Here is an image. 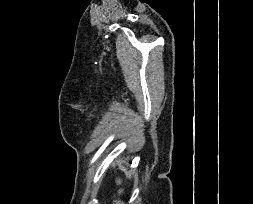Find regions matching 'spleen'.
Segmentation results:
<instances>
[{
    "label": "spleen",
    "mask_w": 253,
    "mask_h": 204,
    "mask_svg": "<svg viewBox=\"0 0 253 204\" xmlns=\"http://www.w3.org/2000/svg\"><path fill=\"white\" fill-rule=\"evenodd\" d=\"M121 170L126 174V176L130 179L131 178V175L132 173L130 171H127L124 167H120Z\"/></svg>",
    "instance_id": "spleen-1"
}]
</instances>
